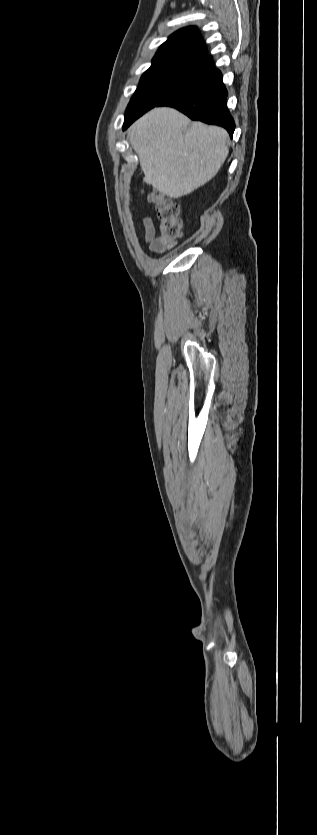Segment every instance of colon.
<instances>
[{
	"mask_svg": "<svg viewBox=\"0 0 317 835\" xmlns=\"http://www.w3.org/2000/svg\"><path fill=\"white\" fill-rule=\"evenodd\" d=\"M144 193L156 208L157 218L160 221L161 246L170 248L182 236L179 206L166 195L154 189L144 190Z\"/></svg>",
	"mask_w": 317,
	"mask_h": 835,
	"instance_id": "1",
	"label": "colon"
}]
</instances>
